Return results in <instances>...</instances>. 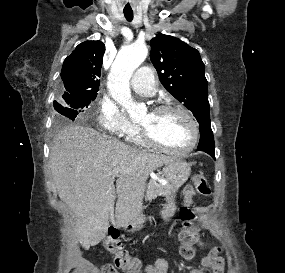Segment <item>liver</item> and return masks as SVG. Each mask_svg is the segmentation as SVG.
<instances>
[{
    "mask_svg": "<svg viewBox=\"0 0 285 273\" xmlns=\"http://www.w3.org/2000/svg\"><path fill=\"white\" fill-rule=\"evenodd\" d=\"M173 160L131 148L89 127L69 125L59 131L52 142L50 167L59 198L77 217L81 246L88 250L104 238L116 193V224L141 218L150 173ZM115 168L120 169L116 188L111 175Z\"/></svg>",
    "mask_w": 285,
    "mask_h": 273,
    "instance_id": "liver-1",
    "label": "liver"
}]
</instances>
